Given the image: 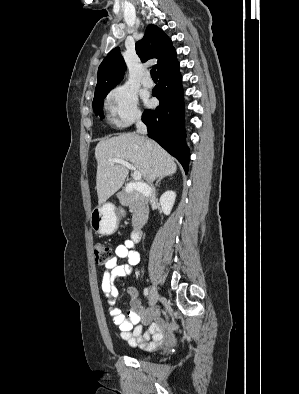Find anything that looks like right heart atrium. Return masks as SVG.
I'll return each instance as SVG.
<instances>
[{
  "label": "right heart atrium",
  "instance_id": "1",
  "mask_svg": "<svg viewBox=\"0 0 299 394\" xmlns=\"http://www.w3.org/2000/svg\"><path fill=\"white\" fill-rule=\"evenodd\" d=\"M107 108L112 122L119 128H125L141 118L138 98L126 85H118L107 97Z\"/></svg>",
  "mask_w": 299,
  "mask_h": 394
}]
</instances>
